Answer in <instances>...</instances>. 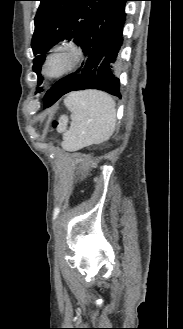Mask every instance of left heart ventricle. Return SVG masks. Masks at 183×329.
Masks as SVG:
<instances>
[{"label":"left heart ventricle","instance_id":"obj_1","mask_svg":"<svg viewBox=\"0 0 183 329\" xmlns=\"http://www.w3.org/2000/svg\"><path fill=\"white\" fill-rule=\"evenodd\" d=\"M71 59V53L66 51L55 55L48 65V71L54 73L64 69L71 62Z\"/></svg>","mask_w":183,"mask_h":329}]
</instances>
